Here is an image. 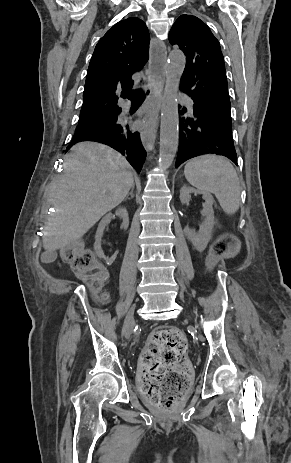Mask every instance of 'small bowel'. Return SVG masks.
Here are the masks:
<instances>
[{"label": "small bowel", "mask_w": 291, "mask_h": 463, "mask_svg": "<svg viewBox=\"0 0 291 463\" xmlns=\"http://www.w3.org/2000/svg\"><path fill=\"white\" fill-rule=\"evenodd\" d=\"M53 257V254L51 252H47L44 256H43V260L44 261H48L50 260L51 258ZM60 265V263H58Z\"/></svg>", "instance_id": "obj_1"}]
</instances>
